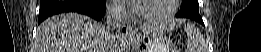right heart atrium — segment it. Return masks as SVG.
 <instances>
[{
    "label": "right heart atrium",
    "instance_id": "d8ad5b80",
    "mask_svg": "<svg viewBox=\"0 0 261 52\" xmlns=\"http://www.w3.org/2000/svg\"><path fill=\"white\" fill-rule=\"evenodd\" d=\"M110 10H111V14L117 18H124L127 15V10H126L125 6L123 4H121L120 2H115L111 6Z\"/></svg>",
    "mask_w": 261,
    "mask_h": 52
}]
</instances>
